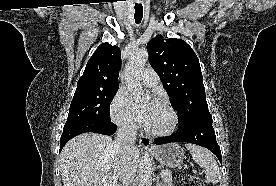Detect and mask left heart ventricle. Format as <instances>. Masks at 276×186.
I'll use <instances>...</instances> for the list:
<instances>
[{"mask_svg": "<svg viewBox=\"0 0 276 186\" xmlns=\"http://www.w3.org/2000/svg\"><path fill=\"white\" fill-rule=\"evenodd\" d=\"M171 122L172 116L170 112L164 106L158 104L146 127L151 130H164L171 125Z\"/></svg>", "mask_w": 276, "mask_h": 186, "instance_id": "obj_1", "label": "left heart ventricle"}]
</instances>
